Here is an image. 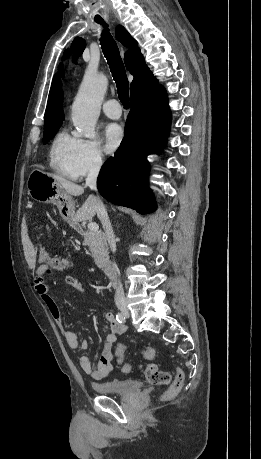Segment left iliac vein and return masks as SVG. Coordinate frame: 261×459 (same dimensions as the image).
Returning a JSON list of instances; mask_svg holds the SVG:
<instances>
[{
    "label": "left iliac vein",
    "mask_w": 261,
    "mask_h": 459,
    "mask_svg": "<svg viewBox=\"0 0 261 459\" xmlns=\"http://www.w3.org/2000/svg\"><path fill=\"white\" fill-rule=\"evenodd\" d=\"M124 315H125L126 317H129V312H128V311L125 312Z\"/></svg>",
    "instance_id": "1"
}]
</instances>
